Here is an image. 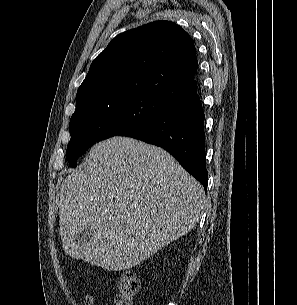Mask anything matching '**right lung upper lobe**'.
Instances as JSON below:
<instances>
[{
  "mask_svg": "<svg viewBox=\"0 0 297 305\" xmlns=\"http://www.w3.org/2000/svg\"><path fill=\"white\" fill-rule=\"evenodd\" d=\"M198 62L189 34L171 21H155L115 37L92 62L78 88L76 109L122 94L170 102L197 90Z\"/></svg>",
  "mask_w": 297,
  "mask_h": 305,
  "instance_id": "cb5924a9",
  "label": "right lung upper lobe"
}]
</instances>
